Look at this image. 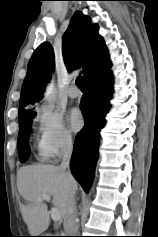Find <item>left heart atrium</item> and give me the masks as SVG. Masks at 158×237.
Segmentation results:
<instances>
[{
    "label": "left heart atrium",
    "mask_w": 158,
    "mask_h": 237,
    "mask_svg": "<svg viewBox=\"0 0 158 237\" xmlns=\"http://www.w3.org/2000/svg\"><path fill=\"white\" fill-rule=\"evenodd\" d=\"M68 123L72 131L77 132L84 125V117L79 108H72L67 115Z\"/></svg>",
    "instance_id": "1"
}]
</instances>
